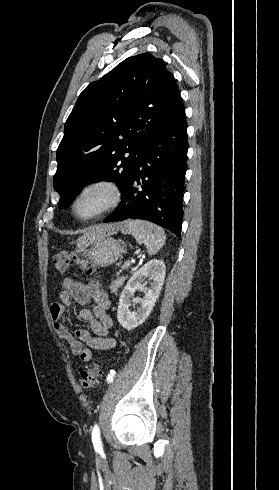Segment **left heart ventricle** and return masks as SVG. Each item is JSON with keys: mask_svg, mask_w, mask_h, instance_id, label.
Wrapping results in <instances>:
<instances>
[{"mask_svg": "<svg viewBox=\"0 0 279 490\" xmlns=\"http://www.w3.org/2000/svg\"><path fill=\"white\" fill-rule=\"evenodd\" d=\"M106 197V194L97 189L89 190L82 198L78 209L82 213H87L96 208Z\"/></svg>", "mask_w": 279, "mask_h": 490, "instance_id": "left-heart-ventricle-1", "label": "left heart ventricle"}]
</instances>
